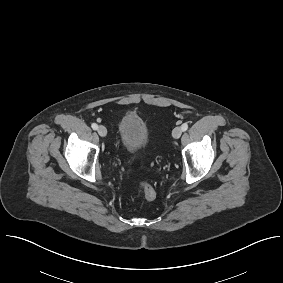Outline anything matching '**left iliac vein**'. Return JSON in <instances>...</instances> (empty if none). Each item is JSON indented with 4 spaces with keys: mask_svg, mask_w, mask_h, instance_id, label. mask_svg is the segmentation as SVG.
Here are the masks:
<instances>
[{
    "mask_svg": "<svg viewBox=\"0 0 283 283\" xmlns=\"http://www.w3.org/2000/svg\"><path fill=\"white\" fill-rule=\"evenodd\" d=\"M181 134H182V129H181V127H175V128L173 129V131H172V136H173V138H175V139L180 138Z\"/></svg>",
    "mask_w": 283,
    "mask_h": 283,
    "instance_id": "4c4485c4",
    "label": "left iliac vein"
}]
</instances>
